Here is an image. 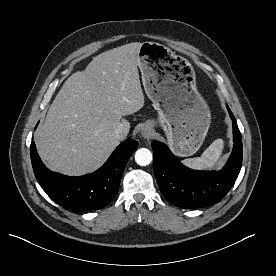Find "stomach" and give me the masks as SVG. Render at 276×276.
<instances>
[{
  "mask_svg": "<svg viewBox=\"0 0 276 276\" xmlns=\"http://www.w3.org/2000/svg\"><path fill=\"white\" fill-rule=\"evenodd\" d=\"M138 66L171 151L179 157L195 154L206 137L211 115L197 90L193 66L156 42L141 43Z\"/></svg>",
  "mask_w": 276,
  "mask_h": 276,
  "instance_id": "stomach-1",
  "label": "stomach"
}]
</instances>
